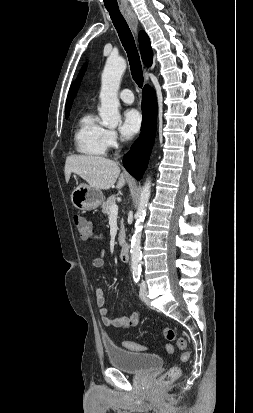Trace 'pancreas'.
Here are the masks:
<instances>
[{
  "label": "pancreas",
  "instance_id": "pancreas-1",
  "mask_svg": "<svg viewBox=\"0 0 253 413\" xmlns=\"http://www.w3.org/2000/svg\"><path fill=\"white\" fill-rule=\"evenodd\" d=\"M116 205V198L114 195L110 196L105 202L102 203V212L103 214L110 215V208ZM124 235V225H123V220H121V226H120V233H119V238H121Z\"/></svg>",
  "mask_w": 253,
  "mask_h": 413
}]
</instances>
